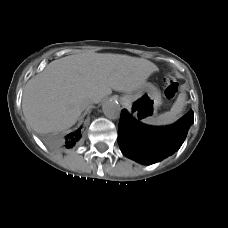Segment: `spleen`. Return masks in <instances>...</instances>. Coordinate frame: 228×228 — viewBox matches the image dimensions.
Masks as SVG:
<instances>
[{
	"label": "spleen",
	"instance_id": "spleen-1",
	"mask_svg": "<svg viewBox=\"0 0 228 228\" xmlns=\"http://www.w3.org/2000/svg\"><path fill=\"white\" fill-rule=\"evenodd\" d=\"M185 100L186 94L184 92L180 93L170 111L160 114L157 117H152L145 122L150 125H169L174 123L183 110Z\"/></svg>",
	"mask_w": 228,
	"mask_h": 228
}]
</instances>
